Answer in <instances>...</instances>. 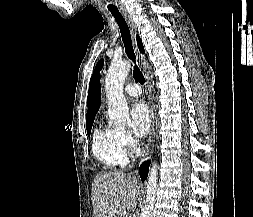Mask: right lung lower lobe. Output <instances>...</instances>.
<instances>
[{"label": "right lung lower lobe", "instance_id": "98d812e1", "mask_svg": "<svg viewBox=\"0 0 253 217\" xmlns=\"http://www.w3.org/2000/svg\"><path fill=\"white\" fill-rule=\"evenodd\" d=\"M149 164H150L149 161H146L140 166L139 173L142 181L146 180L148 176Z\"/></svg>", "mask_w": 253, "mask_h": 217}]
</instances>
